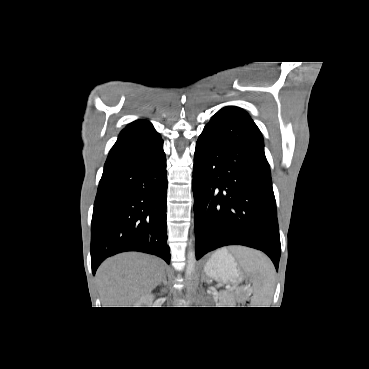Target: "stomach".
Wrapping results in <instances>:
<instances>
[{
  "label": "stomach",
  "mask_w": 369,
  "mask_h": 369,
  "mask_svg": "<svg viewBox=\"0 0 369 369\" xmlns=\"http://www.w3.org/2000/svg\"><path fill=\"white\" fill-rule=\"evenodd\" d=\"M204 271L209 277L224 283H235L243 277L235 259L225 248L211 256L204 266Z\"/></svg>",
  "instance_id": "1"
}]
</instances>
